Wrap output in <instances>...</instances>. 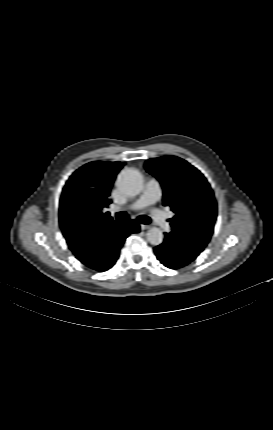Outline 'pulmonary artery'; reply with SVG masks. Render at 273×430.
<instances>
[{
    "mask_svg": "<svg viewBox=\"0 0 273 430\" xmlns=\"http://www.w3.org/2000/svg\"><path fill=\"white\" fill-rule=\"evenodd\" d=\"M161 198V188L155 179L147 182L145 189L140 198L128 207L130 210H142L153 206ZM152 217L156 223L165 231H170V225L166 220L165 214L159 209L151 210Z\"/></svg>",
    "mask_w": 273,
    "mask_h": 430,
    "instance_id": "e3ab8cb5",
    "label": "pulmonary artery"
}]
</instances>
